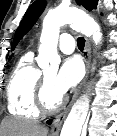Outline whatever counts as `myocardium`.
Segmentation results:
<instances>
[{"label":"myocardium","mask_w":117,"mask_h":136,"mask_svg":"<svg viewBox=\"0 0 117 136\" xmlns=\"http://www.w3.org/2000/svg\"><path fill=\"white\" fill-rule=\"evenodd\" d=\"M47 81L41 78L35 95V104L39 112L44 114H51L59 110L64 104V97L60 96L55 104H49L46 97Z\"/></svg>","instance_id":"myocardium-1"}]
</instances>
